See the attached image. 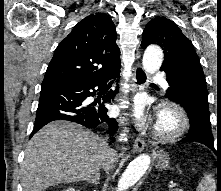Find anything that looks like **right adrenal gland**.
I'll list each match as a JSON object with an SVG mask.
<instances>
[{
  "mask_svg": "<svg viewBox=\"0 0 221 191\" xmlns=\"http://www.w3.org/2000/svg\"><path fill=\"white\" fill-rule=\"evenodd\" d=\"M99 177H100V174L97 173L95 176L91 177V178H88L86 181L89 183V184H92V185H97L99 183Z\"/></svg>",
  "mask_w": 221,
  "mask_h": 191,
  "instance_id": "2a0ac1e0",
  "label": "right adrenal gland"
}]
</instances>
